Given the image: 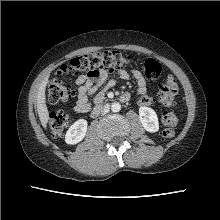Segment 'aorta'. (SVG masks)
I'll return each mask as SVG.
<instances>
[{"label":"aorta","instance_id":"obj_1","mask_svg":"<svg viewBox=\"0 0 220 220\" xmlns=\"http://www.w3.org/2000/svg\"><path fill=\"white\" fill-rule=\"evenodd\" d=\"M111 110H112L113 112H119V111L121 110V105H120V103H118V102L112 103V105H111Z\"/></svg>","mask_w":220,"mask_h":220}]
</instances>
